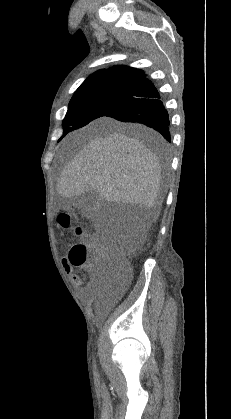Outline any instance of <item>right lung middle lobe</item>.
Returning <instances> with one entry per match:
<instances>
[{
	"instance_id": "dd1d6c3e",
	"label": "right lung middle lobe",
	"mask_w": 231,
	"mask_h": 419,
	"mask_svg": "<svg viewBox=\"0 0 231 419\" xmlns=\"http://www.w3.org/2000/svg\"><path fill=\"white\" fill-rule=\"evenodd\" d=\"M134 88L133 86L107 85L77 90L69 103L67 114L63 120L61 139L70 131L105 116L123 102Z\"/></svg>"
}]
</instances>
